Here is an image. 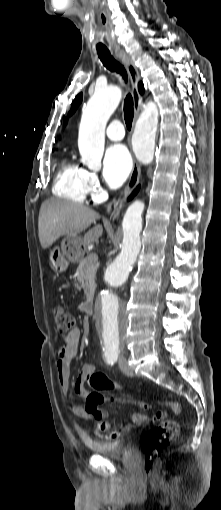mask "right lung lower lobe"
Returning <instances> with one entry per match:
<instances>
[{
    "instance_id": "obj_1",
    "label": "right lung lower lobe",
    "mask_w": 221,
    "mask_h": 510,
    "mask_svg": "<svg viewBox=\"0 0 221 510\" xmlns=\"http://www.w3.org/2000/svg\"><path fill=\"white\" fill-rule=\"evenodd\" d=\"M138 190H139V186L136 188V190L133 192V194L129 197V199L132 198L138 192Z\"/></svg>"
}]
</instances>
